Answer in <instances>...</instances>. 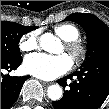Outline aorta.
<instances>
[{
	"label": "aorta",
	"instance_id": "762f6f07",
	"mask_svg": "<svg viewBox=\"0 0 109 109\" xmlns=\"http://www.w3.org/2000/svg\"><path fill=\"white\" fill-rule=\"evenodd\" d=\"M60 45V40L51 33H45L40 38V47L49 53H57ZM47 92L53 101L62 97V88L58 84L49 86Z\"/></svg>",
	"mask_w": 109,
	"mask_h": 109
}]
</instances>
